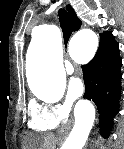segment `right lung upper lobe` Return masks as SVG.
<instances>
[{
  "instance_id": "cb5924a9",
  "label": "right lung upper lobe",
  "mask_w": 124,
  "mask_h": 149,
  "mask_svg": "<svg viewBox=\"0 0 124 149\" xmlns=\"http://www.w3.org/2000/svg\"><path fill=\"white\" fill-rule=\"evenodd\" d=\"M67 10H68V12L70 14V17H71V20H72V23H73V30L77 31L80 28L82 22L77 17L75 11L73 10V8L70 5H67Z\"/></svg>"
}]
</instances>
